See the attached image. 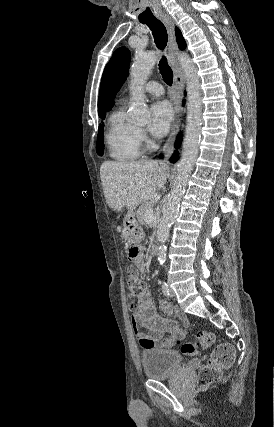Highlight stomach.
<instances>
[{
  "label": "stomach",
  "instance_id": "obj_1",
  "mask_svg": "<svg viewBox=\"0 0 274 427\" xmlns=\"http://www.w3.org/2000/svg\"><path fill=\"white\" fill-rule=\"evenodd\" d=\"M122 237L130 243H137L144 237V231L138 223L135 214H127L123 219Z\"/></svg>",
  "mask_w": 274,
  "mask_h": 427
}]
</instances>
